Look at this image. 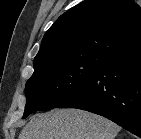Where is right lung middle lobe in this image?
Here are the masks:
<instances>
[{"label": "right lung middle lobe", "instance_id": "1", "mask_svg": "<svg viewBox=\"0 0 141 139\" xmlns=\"http://www.w3.org/2000/svg\"><path fill=\"white\" fill-rule=\"evenodd\" d=\"M107 59L82 56L34 68L27 81L23 118L39 110H49L87 84Z\"/></svg>", "mask_w": 141, "mask_h": 139}]
</instances>
